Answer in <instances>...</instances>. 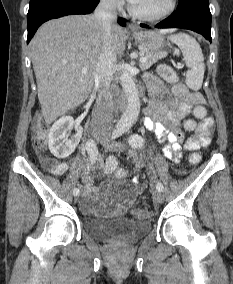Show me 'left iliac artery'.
<instances>
[{
    "instance_id": "obj_1",
    "label": "left iliac artery",
    "mask_w": 233,
    "mask_h": 284,
    "mask_svg": "<svg viewBox=\"0 0 233 284\" xmlns=\"http://www.w3.org/2000/svg\"><path fill=\"white\" fill-rule=\"evenodd\" d=\"M124 132H125V131L122 130V129L115 130V131L113 132L112 137H113V138H118V137L122 136V135L124 134ZM128 144H129L132 148H141L142 145H143V139H142V137L139 136V135H132V136H130V137L128 138ZM156 189H157L158 191H161V192L163 191L164 187H163V185H162L161 182H157V183H156Z\"/></svg>"
}]
</instances>
